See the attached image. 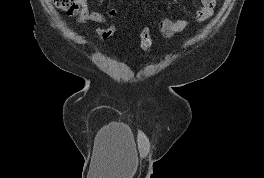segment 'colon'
<instances>
[{
	"label": "colon",
	"mask_w": 264,
	"mask_h": 178,
	"mask_svg": "<svg viewBox=\"0 0 264 178\" xmlns=\"http://www.w3.org/2000/svg\"><path fill=\"white\" fill-rule=\"evenodd\" d=\"M53 4L67 15L75 16L79 11V0H52ZM115 25L104 27L100 32V38L105 40L115 32ZM153 31L151 27H145L140 34V47L143 51L149 52L152 47Z\"/></svg>",
	"instance_id": "5ec220e1"
}]
</instances>
